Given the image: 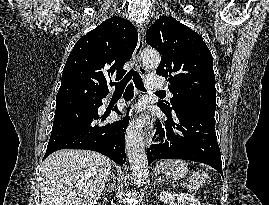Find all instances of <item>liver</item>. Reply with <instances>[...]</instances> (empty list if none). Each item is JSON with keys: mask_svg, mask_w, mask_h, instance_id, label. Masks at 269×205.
Here are the masks:
<instances>
[{"mask_svg": "<svg viewBox=\"0 0 269 205\" xmlns=\"http://www.w3.org/2000/svg\"><path fill=\"white\" fill-rule=\"evenodd\" d=\"M110 169V160L94 151L54 152L43 163L41 205H95Z\"/></svg>", "mask_w": 269, "mask_h": 205, "instance_id": "liver-1", "label": "liver"}]
</instances>
